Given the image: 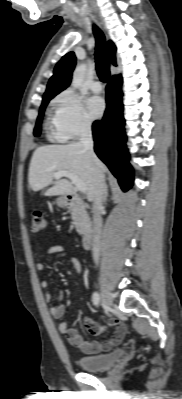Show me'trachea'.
Returning <instances> with one entry per match:
<instances>
[{
    "mask_svg": "<svg viewBox=\"0 0 182 399\" xmlns=\"http://www.w3.org/2000/svg\"><path fill=\"white\" fill-rule=\"evenodd\" d=\"M93 32L96 38V70L102 82H107L110 75L109 62L106 55L105 37L103 32L97 27H93Z\"/></svg>",
    "mask_w": 182,
    "mask_h": 399,
    "instance_id": "obj_1",
    "label": "trachea"
}]
</instances>
